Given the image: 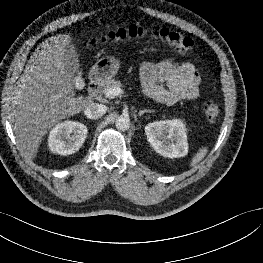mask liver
I'll return each instance as SVG.
<instances>
[{"mask_svg":"<svg viewBox=\"0 0 263 263\" xmlns=\"http://www.w3.org/2000/svg\"><path fill=\"white\" fill-rule=\"evenodd\" d=\"M71 37L58 34L46 39L28 60L12 98L11 121L19 149L34 158L48 130L90 103L75 97L74 80L64 65Z\"/></svg>","mask_w":263,"mask_h":263,"instance_id":"obj_1","label":"liver"}]
</instances>
